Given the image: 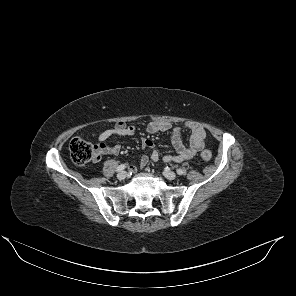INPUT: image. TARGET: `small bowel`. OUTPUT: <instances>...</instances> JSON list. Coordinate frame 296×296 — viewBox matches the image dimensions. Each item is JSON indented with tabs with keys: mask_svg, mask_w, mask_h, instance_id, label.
I'll return each instance as SVG.
<instances>
[{
	"mask_svg": "<svg viewBox=\"0 0 296 296\" xmlns=\"http://www.w3.org/2000/svg\"><path fill=\"white\" fill-rule=\"evenodd\" d=\"M173 129L172 145L176 151V155H165L162 157L164 162H183L191 159L196 153L205 147V130L204 128L195 123H186L182 126L172 127L169 122L166 121H151L147 126L148 133L154 134L158 132H165ZM183 129H189L190 140L189 144H185L181 137ZM136 129L132 125H128L125 122H118L113 128L103 131L97 139L98 157L95 160H100L101 155H118L121 151V146L118 143L107 145L105 142L107 139L113 136H131L135 134ZM143 149L150 152V156L143 155L139 162L140 168H145L149 160L157 162L160 159L159 152L155 149L154 142L148 138L142 139ZM132 171L137 170V166H130Z\"/></svg>",
	"mask_w": 296,
	"mask_h": 296,
	"instance_id": "1",
	"label": "small bowel"
}]
</instances>
